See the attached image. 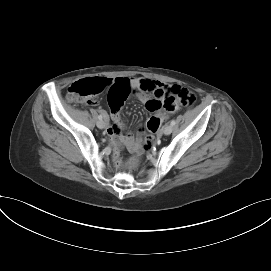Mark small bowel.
I'll use <instances>...</instances> for the list:
<instances>
[{
    "instance_id": "obj_1",
    "label": "small bowel",
    "mask_w": 271,
    "mask_h": 271,
    "mask_svg": "<svg viewBox=\"0 0 271 271\" xmlns=\"http://www.w3.org/2000/svg\"><path fill=\"white\" fill-rule=\"evenodd\" d=\"M105 97L109 102L111 108L112 124L107 128V134L110 136L113 143L117 144L119 141L125 144L133 143V136L127 134L121 136L124 130V123L120 116V111L123 106V102L127 98H131L136 95L137 99L142 102L146 109L155 114V118L163 120L166 114L163 110V101L158 97V93L163 92L165 89L171 87L160 81L142 79V78H118V79H106ZM149 92L154 94V98L149 96ZM167 112L173 113L177 110V105L170 109L164 107Z\"/></svg>"
}]
</instances>
